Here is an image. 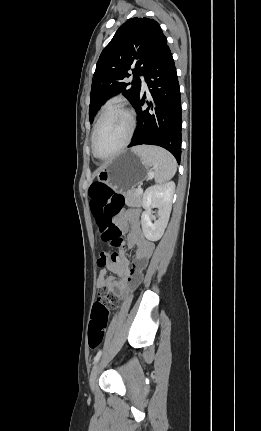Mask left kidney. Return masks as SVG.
Wrapping results in <instances>:
<instances>
[{
  "label": "left kidney",
  "instance_id": "5707ae66",
  "mask_svg": "<svg viewBox=\"0 0 261 431\" xmlns=\"http://www.w3.org/2000/svg\"><path fill=\"white\" fill-rule=\"evenodd\" d=\"M175 184L169 182L165 185H155L147 188L144 193L142 205L145 211L141 216L144 236L150 241H158L168 224L172 208ZM152 208L158 209V219L152 222Z\"/></svg>",
  "mask_w": 261,
  "mask_h": 431
}]
</instances>
